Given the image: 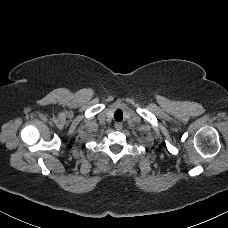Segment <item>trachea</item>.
<instances>
[{
  "mask_svg": "<svg viewBox=\"0 0 228 228\" xmlns=\"http://www.w3.org/2000/svg\"><path fill=\"white\" fill-rule=\"evenodd\" d=\"M114 119L117 122L122 121V119H123V112L120 109H118V110L115 111V113H114Z\"/></svg>",
  "mask_w": 228,
  "mask_h": 228,
  "instance_id": "1",
  "label": "trachea"
}]
</instances>
